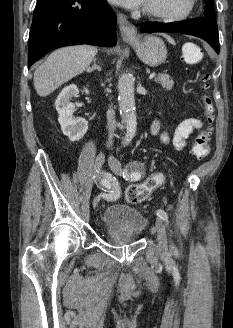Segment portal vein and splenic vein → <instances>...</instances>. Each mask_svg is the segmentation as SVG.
Listing matches in <instances>:
<instances>
[{
    "label": "portal vein and splenic vein",
    "mask_w": 233,
    "mask_h": 328,
    "mask_svg": "<svg viewBox=\"0 0 233 328\" xmlns=\"http://www.w3.org/2000/svg\"><path fill=\"white\" fill-rule=\"evenodd\" d=\"M155 77V73L150 74L149 79H153Z\"/></svg>",
    "instance_id": "18ae733b"
}]
</instances>
